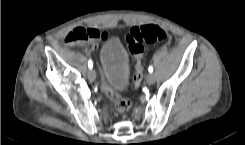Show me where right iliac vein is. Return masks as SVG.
Instances as JSON below:
<instances>
[{"instance_id": "obj_1", "label": "right iliac vein", "mask_w": 245, "mask_h": 145, "mask_svg": "<svg viewBox=\"0 0 245 145\" xmlns=\"http://www.w3.org/2000/svg\"><path fill=\"white\" fill-rule=\"evenodd\" d=\"M88 79H89L90 81H94V80L96 79V72H95L94 69H90V70L88 71Z\"/></svg>"}]
</instances>
